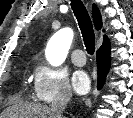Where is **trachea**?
<instances>
[{"label":"trachea","mask_w":133,"mask_h":118,"mask_svg":"<svg viewBox=\"0 0 133 118\" xmlns=\"http://www.w3.org/2000/svg\"><path fill=\"white\" fill-rule=\"evenodd\" d=\"M71 7L77 18L86 51L88 54L93 55L95 50V35L90 16L83 3L79 0H72Z\"/></svg>","instance_id":"1"}]
</instances>
